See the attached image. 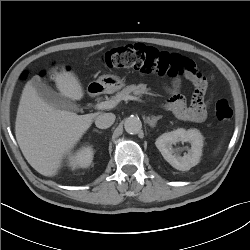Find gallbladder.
Segmentation results:
<instances>
[{
	"label": "gallbladder",
	"instance_id": "bac80fb5",
	"mask_svg": "<svg viewBox=\"0 0 250 250\" xmlns=\"http://www.w3.org/2000/svg\"><path fill=\"white\" fill-rule=\"evenodd\" d=\"M31 82L36 88L39 96L54 108L71 111H77L79 109L78 105L73 101L54 92L40 77L35 76Z\"/></svg>",
	"mask_w": 250,
	"mask_h": 250
}]
</instances>
